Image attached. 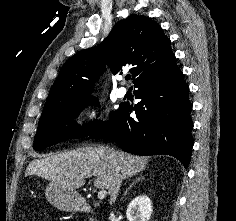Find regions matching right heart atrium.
Instances as JSON below:
<instances>
[{
  "label": "right heart atrium",
  "instance_id": "1",
  "mask_svg": "<svg viewBox=\"0 0 236 221\" xmlns=\"http://www.w3.org/2000/svg\"><path fill=\"white\" fill-rule=\"evenodd\" d=\"M85 118L90 127L100 125L104 119V111L100 106H91L85 112Z\"/></svg>",
  "mask_w": 236,
  "mask_h": 221
}]
</instances>
